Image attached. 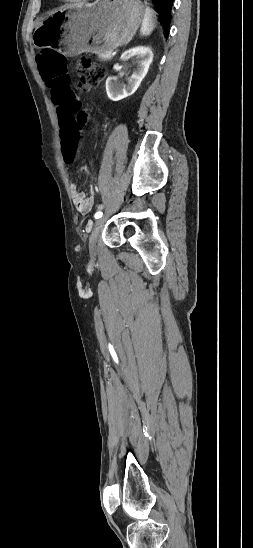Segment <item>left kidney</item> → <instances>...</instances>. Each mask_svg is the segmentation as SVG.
Masks as SVG:
<instances>
[{
    "mask_svg": "<svg viewBox=\"0 0 253 548\" xmlns=\"http://www.w3.org/2000/svg\"><path fill=\"white\" fill-rule=\"evenodd\" d=\"M130 58L135 59L137 68L129 78L127 84H118L117 79L113 76H109L106 80V92L112 101L122 100L135 93L148 72L153 59V53L149 47L139 46L129 49L121 56L122 61Z\"/></svg>",
    "mask_w": 253,
    "mask_h": 548,
    "instance_id": "obj_1",
    "label": "left kidney"
}]
</instances>
